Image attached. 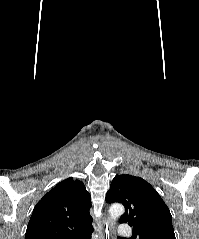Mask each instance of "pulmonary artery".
<instances>
[{"mask_svg": "<svg viewBox=\"0 0 199 239\" xmlns=\"http://www.w3.org/2000/svg\"><path fill=\"white\" fill-rule=\"evenodd\" d=\"M118 232L121 237H130L132 235V229L128 224L119 225Z\"/></svg>", "mask_w": 199, "mask_h": 239, "instance_id": "e3ab8cb5", "label": "pulmonary artery"}]
</instances>
